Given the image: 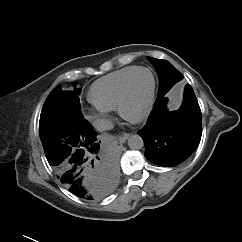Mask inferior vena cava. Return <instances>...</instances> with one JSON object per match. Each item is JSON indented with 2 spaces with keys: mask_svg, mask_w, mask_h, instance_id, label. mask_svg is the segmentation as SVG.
Listing matches in <instances>:
<instances>
[{
  "mask_svg": "<svg viewBox=\"0 0 242 242\" xmlns=\"http://www.w3.org/2000/svg\"><path fill=\"white\" fill-rule=\"evenodd\" d=\"M93 125L95 129L100 132L110 130L114 127V124L110 120L104 118L95 120Z\"/></svg>",
  "mask_w": 242,
  "mask_h": 242,
  "instance_id": "602c4592",
  "label": "inferior vena cava"
}]
</instances>
